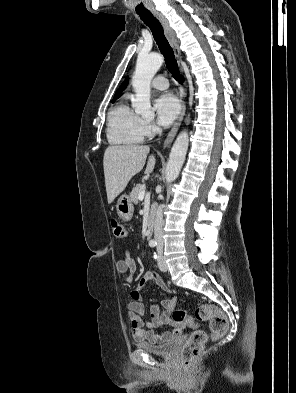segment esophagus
<instances>
[{"instance_id": "esophagus-1", "label": "esophagus", "mask_w": 296, "mask_h": 393, "mask_svg": "<svg viewBox=\"0 0 296 393\" xmlns=\"http://www.w3.org/2000/svg\"><path fill=\"white\" fill-rule=\"evenodd\" d=\"M151 12H152V14L159 20V22H160L161 25L163 26V29H164L166 38H167V40H168L170 46L172 47V49H173V51H174V55H175L176 59H177L178 61H181V60H182V57H181L180 48H179L178 42H177V40H176V38H175V34H174L172 28L170 27L168 21H167L166 18H165L161 13H159L158 11L152 10ZM184 95H185V94H184V87L182 86V87H181V91H180L181 111H180V114H179V116H178L176 122L174 123L172 129L170 130V132L168 133V135H167V137H166V139H165V141H164V147H166V146H168L169 144L172 143V141H173V139H174V137H175V135H176V133H177V131H178L180 125H181V122H182V120H183V118H184V116H185L186 104H185V101L183 100Z\"/></svg>"}]
</instances>
